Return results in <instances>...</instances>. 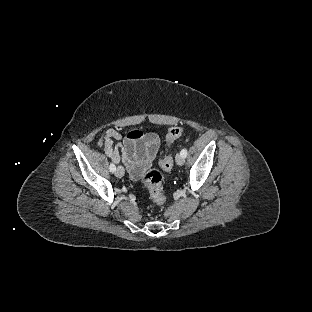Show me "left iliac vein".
<instances>
[{
    "label": "left iliac vein",
    "mask_w": 312,
    "mask_h": 312,
    "mask_svg": "<svg viewBox=\"0 0 312 312\" xmlns=\"http://www.w3.org/2000/svg\"><path fill=\"white\" fill-rule=\"evenodd\" d=\"M176 163L181 166L185 163V159L181 154L176 155Z\"/></svg>",
    "instance_id": "1"
}]
</instances>
